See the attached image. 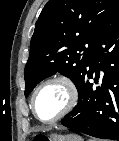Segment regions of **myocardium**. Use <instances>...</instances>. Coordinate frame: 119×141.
<instances>
[{"mask_svg": "<svg viewBox=\"0 0 119 141\" xmlns=\"http://www.w3.org/2000/svg\"><path fill=\"white\" fill-rule=\"evenodd\" d=\"M60 84L62 85L67 93V100L66 103L64 105V107L62 108V110L53 118L48 119V120H43L41 119L36 112V107H35V101H36V97L38 95V93L40 92L41 89H43L44 87L50 85V84ZM78 89L76 87V84L74 83V81L66 76V75H56L53 77H50L46 80H44L42 83H40L36 89L34 90L32 97H31V109L33 112V115L35 116L36 119H38L40 122L43 123H54L60 119H62L63 117H65L67 114H69L76 106L77 102H78Z\"/></svg>", "mask_w": 119, "mask_h": 141, "instance_id": "f54148a6", "label": "myocardium"}]
</instances>
